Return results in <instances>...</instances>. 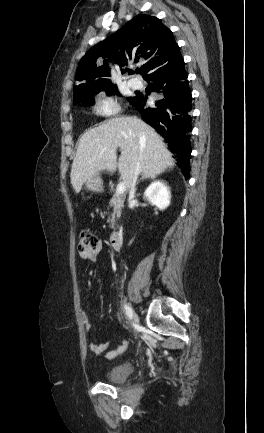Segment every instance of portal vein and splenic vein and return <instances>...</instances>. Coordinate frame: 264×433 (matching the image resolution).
<instances>
[{
    "mask_svg": "<svg viewBox=\"0 0 264 433\" xmlns=\"http://www.w3.org/2000/svg\"><path fill=\"white\" fill-rule=\"evenodd\" d=\"M125 191H126V185H125V183H124V182H120V183L117 185L116 192H117L118 194H123Z\"/></svg>",
    "mask_w": 264,
    "mask_h": 433,
    "instance_id": "1",
    "label": "portal vein and splenic vein"
}]
</instances>
